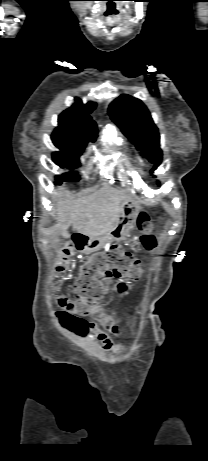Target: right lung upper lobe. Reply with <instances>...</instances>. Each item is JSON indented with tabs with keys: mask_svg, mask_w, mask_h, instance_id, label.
Returning <instances> with one entry per match:
<instances>
[{
	"mask_svg": "<svg viewBox=\"0 0 208 461\" xmlns=\"http://www.w3.org/2000/svg\"><path fill=\"white\" fill-rule=\"evenodd\" d=\"M95 107L96 104L94 102L82 104L77 98V102L74 105L59 115V126L55 129L54 133L71 138H83L96 135V124L88 115Z\"/></svg>",
	"mask_w": 208,
	"mask_h": 461,
	"instance_id": "obj_1",
	"label": "right lung upper lobe"
}]
</instances>
